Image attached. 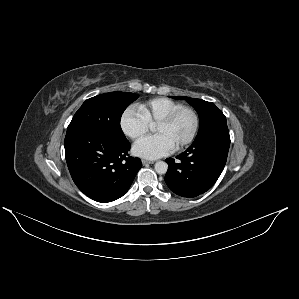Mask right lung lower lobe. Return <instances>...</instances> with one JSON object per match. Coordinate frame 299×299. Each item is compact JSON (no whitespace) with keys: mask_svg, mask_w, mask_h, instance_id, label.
<instances>
[{"mask_svg":"<svg viewBox=\"0 0 299 299\" xmlns=\"http://www.w3.org/2000/svg\"><path fill=\"white\" fill-rule=\"evenodd\" d=\"M66 162L77 187L98 202H111L130 188L142 167L129 156V141L108 132L79 128L67 130L64 141Z\"/></svg>","mask_w":299,"mask_h":299,"instance_id":"obj_1","label":"right lung lower lobe"}]
</instances>
